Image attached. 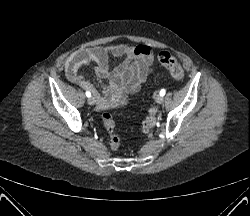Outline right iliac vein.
I'll use <instances>...</instances> for the list:
<instances>
[{"label":"right iliac vein","mask_w":250,"mask_h":216,"mask_svg":"<svg viewBox=\"0 0 250 216\" xmlns=\"http://www.w3.org/2000/svg\"><path fill=\"white\" fill-rule=\"evenodd\" d=\"M95 98L94 97H92V96H90L89 98H88V103L90 104V105H94L95 104Z\"/></svg>","instance_id":"63e3f726"}]
</instances>
